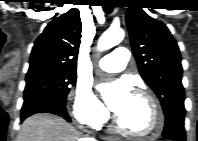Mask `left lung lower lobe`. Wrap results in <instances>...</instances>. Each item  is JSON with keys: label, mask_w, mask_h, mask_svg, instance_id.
<instances>
[{"label": "left lung lower lobe", "mask_w": 198, "mask_h": 141, "mask_svg": "<svg viewBox=\"0 0 198 141\" xmlns=\"http://www.w3.org/2000/svg\"><path fill=\"white\" fill-rule=\"evenodd\" d=\"M185 109L177 108L166 116L163 138L173 141H185Z\"/></svg>", "instance_id": "1"}]
</instances>
